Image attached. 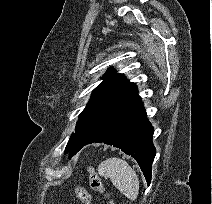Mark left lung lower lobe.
I'll list each match as a JSON object with an SVG mask.
<instances>
[{
    "instance_id": "1",
    "label": "left lung lower lobe",
    "mask_w": 212,
    "mask_h": 204,
    "mask_svg": "<svg viewBox=\"0 0 212 204\" xmlns=\"http://www.w3.org/2000/svg\"><path fill=\"white\" fill-rule=\"evenodd\" d=\"M153 127L137 91L79 134L69 151V157L90 143H106L132 156L139 164L148 185L156 150L152 143Z\"/></svg>"
}]
</instances>
